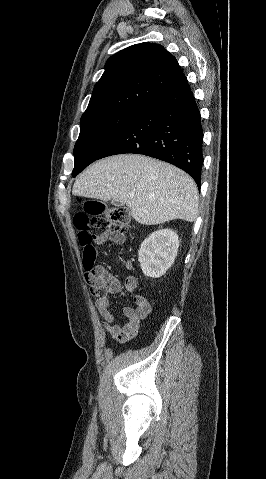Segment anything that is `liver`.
Instances as JSON below:
<instances>
[{"mask_svg": "<svg viewBox=\"0 0 266 479\" xmlns=\"http://www.w3.org/2000/svg\"><path fill=\"white\" fill-rule=\"evenodd\" d=\"M75 196L126 204L135 221L157 225L198 216V189L184 171L143 155H115L93 163L75 181Z\"/></svg>", "mask_w": 266, "mask_h": 479, "instance_id": "6515ba94", "label": "liver"}]
</instances>
